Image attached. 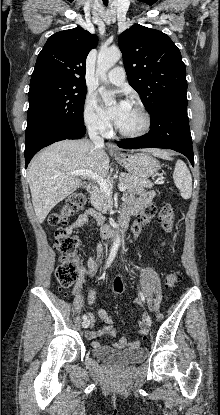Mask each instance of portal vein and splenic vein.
I'll return each instance as SVG.
<instances>
[{
    "label": "portal vein and splenic vein",
    "instance_id": "obj_1",
    "mask_svg": "<svg viewBox=\"0 0 220 415\" xmlns=\"http://www.w3.org/2000/svg\"><path fill=\"white\" fill-rule=\"evenodd\" d=\"M72 175H78V176H88L89 178L93 179L98 183L100 188L107 194L111 195L112 193V183L109 180L104 179L103 177L99 176L98 174L89 171V170H77L74 172H71ZM120 191H125L127 187L123 184H119Z\"/></svg>",
    "mask_w": 220,
    "mask_h": 415
}]
</instances>
